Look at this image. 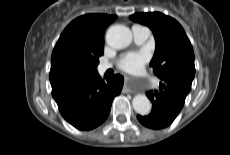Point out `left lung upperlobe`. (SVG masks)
I'll use <instances>...</instances> for the list:
<instances>
[{
    "label": "left lung upper lobe",
    "mask_w": 230,
    "mask_h": 155,
    "mask_svg": "<svg viewBox=\"0 0 230 155\" xmlns=\"http://www.w3.org/2000/svg\"><path fill=\"white\" fill-rule=\"evenodd\" d=\"M130 19L151 28L156 50L150 66L163 81H176L191 89L195 76L194 52L182 26L159 12L136 13Z\"/></svg>",
    "instance_id": "5c2ea615"
}]
</instances>
